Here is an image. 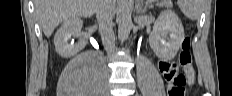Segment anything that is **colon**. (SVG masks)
<instances>
[{
    "label": "colon",
    "mask_w": 232,
    "mask_h": 96,
    "mask_svg": "<svg viewBox=\"0 0 232 96\" xmlns=\"http://www.w3.org/2000/svg\"><path fill=\"white\" fill-rule=\"evenodd\" d=\"M191 39L189 37L184 38L181 45V50L177 60L171 62L172 68H162V73L168 81V95L169 96H184L185 86L187 84L186 74L182 73V69L185 72L186 68L191 67Z\"/></svg>",
    "instance_id": "obj_1"
}]
</instances>
